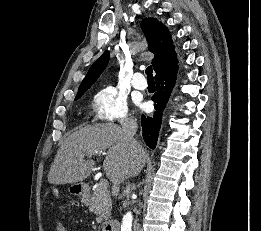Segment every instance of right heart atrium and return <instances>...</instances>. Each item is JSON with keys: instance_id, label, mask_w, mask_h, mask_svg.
<instances>
[{"instance_id": "obj_1", "label": "right heart atrium", "mask_w": 261, "mask_h": 231, "mask_svg": "<svg viewBox=\"0 0 261 231\" xmlns=\"http://www.w3.org/2000/svg\"><path fill=\"white\" fill-rule=\"evenodd\" d=\"M92 106L98 121L120 124L130 121L126 98L115 87L106 86L98 90L93 96Z\"/></svg>"}]
</instances>
